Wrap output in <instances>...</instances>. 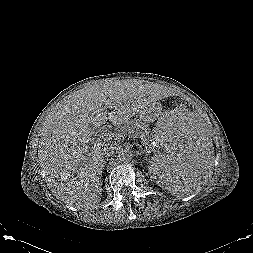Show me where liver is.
Masks as SVG:
<instances>
[{
	"mask_svg": "<svg viewBox=\"0 0 253 253\" xmlns=\"http://www.w3.org/2000/svg\"><path fill=\"white\" fill-rule=\"evenodd\" d=\"M157 99V85L125 80L89 85L64 100L43 122L38 150L52 194L76 208L98 205L104 159L92 127L107 120L120 126Z\"/></svg>",
	"mask_w": 253,
	"mask_h": 253,
	"instance_id": "6515ba94",
	"label": "liver"
}]
</instances>
